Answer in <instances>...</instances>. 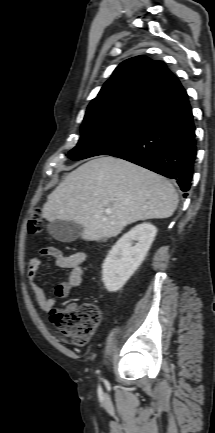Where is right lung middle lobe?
Here are the masks:
<instances>
[{"instance_id": "right-lung-middle-lobe-1", "label": "right lung middle lobe", "mask_w": 215, "mask_h": 433, "mask_svg": "<svg viewBox=\"0 0 215 433\" xmlns=\"http://www.w3.org/2000/svg\"><path fill=\"white\" fill-rule=\"evenodd\" d=\"M146 116L128 115L83 122L81 138L68 157L78 161L108 155L129 144L139 132Z\"/></svg>"}]
</instances>
